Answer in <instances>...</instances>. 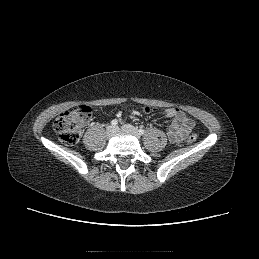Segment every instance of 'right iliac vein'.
<instances>
[{
	"instance_id": "1",
	"label": "right iliac vein",
	"mask_w": 259,
	"mask_h": 259,
	"mask_svg": "<svg viewBox=\"0 0 259 259\" xmlns=\"http://www.w3.org/2000/svg\"><path fill=\"white\" fill-rule=\"evenodd\" d=\"M117 130L118 129H117L116 126H113V125L108 126L107 129H106V135L108 137H111V136H113L117 132Z\"/></svg>"
}]
</instances>
